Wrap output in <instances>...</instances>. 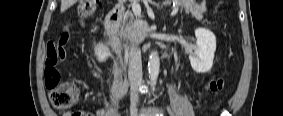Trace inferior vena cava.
Segmentation results:
<instances>
[{"label": "inferior vena cava", "mask_w": 283, "mask_h": 116, "mask_svg": "<svg viewBox=\"0 0 283 116\" xmlns=\"http://www.w3.org/2000/svg\"><path fill=\"white\" fill-rule=\"evenodd\" d=\"M128 77L131 84V101L137 102L139 99L138 87L142 83V62L141 50L135 45L130 46Z\"/></svg>", "instance_id": "602c4592"}]
</instances>
